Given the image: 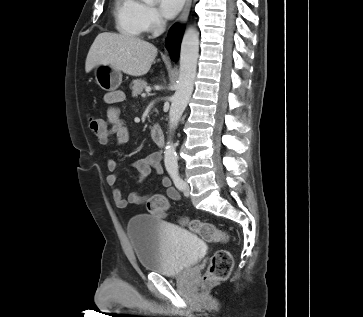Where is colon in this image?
Returning <instances> with one entry per match:
<instances>
[{"label":"colon","mask_w":363,"mask_h":317,"mask_svg":"<svg viewBox=\"0 0 363 317\" xmlns=\"http://www.w3.org/2000/svg\"><path fill=\"white\" fill-rule=\"evenodd\" d=\"M88 126L92 133L100 135L105 130L104 121L95 116L88 117ZM148 211L157 217H163L166 211V202L161 198H154L147 202ZM182 223L191 231L200 235L208 242H225L226 234L212 223L202 222L196 219H183ZM233 268V259L226 250L216 251L211 259L207 271L204 274L203 282L210 284L215 281L227 279Z\"/></svg>","instance_id":"1"}]
</instances>
